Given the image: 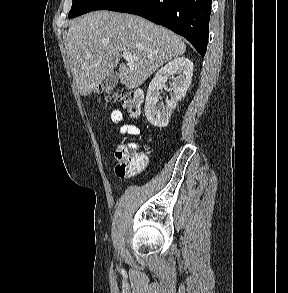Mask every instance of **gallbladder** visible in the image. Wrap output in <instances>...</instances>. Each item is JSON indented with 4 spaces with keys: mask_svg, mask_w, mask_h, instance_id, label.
Here are the masks:
<instances>
[{
    "mask_svg": "<svg viewBox=\"0 0 288 293\" xmlns=\"http://www.w3.org/2000/svg\"><path fill=\"white\" fill-rule=\"evenodd\" d=\"M118 82V73L117 71H113L110 76H108L105 80L104 91L106 93H110L113 88L116 86Z\"/></svg>",
    "mask_w": 288,
    "mask_h": 293,
    "instance_id": "bac80fb5",
    "label": "gallbladder"
}]
</instances>
